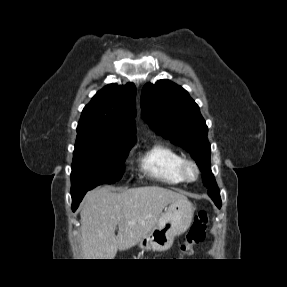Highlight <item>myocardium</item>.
Wrapping results in <instances>:
<instances>
[{
  "mask_svg": "<svg viewBox=\"0 0 287 287\" xmlns=\"http://www.w3.org/2000/svg\"><path fill=\"white\" fill-rule=\"evenodd\" d=\"M191 170L194 174H191ZM180 175L186 182H195L200 176V168L198 164L192 159H183L180 165Z\"/></svg>",
  "mask_w": 287,
  "mask_h": 287,
  "instance_id": "1",
  "label": "myocardium"
}]
</instances>
